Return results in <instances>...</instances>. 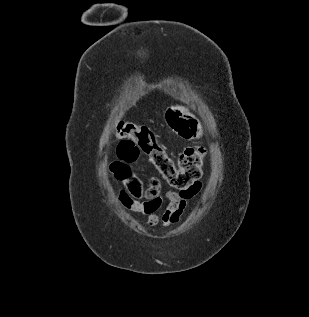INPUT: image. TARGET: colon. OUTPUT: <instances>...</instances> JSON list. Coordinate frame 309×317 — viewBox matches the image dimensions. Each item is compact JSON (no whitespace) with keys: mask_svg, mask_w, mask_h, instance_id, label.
I'll use <instances>...</instances> for the list:
<instances>
[{"mask_svg":"<svg viewBox=\"0 0 309 317\" xmlns=\"http://www.w3.org/2000/svg\"><path fill=\"white\" fill-rule=\"evenodd\" d=\"M166 120L182 137L191 138L197 134V121L182 108H169L166 112ZM116 136L120 139L118 149L126 145L131 149L124 155L125 158L137 161L143 154L149 156L168 184L180 192L192 188L202 176L206 151L201 146L185 148L177 162H174L158 143L156 134L145 125L120 123Z\"/></svg>","mask_w":309,"mask_h":317,"instance_id":"5ec220e1","label":"colon"}]
</instances>
